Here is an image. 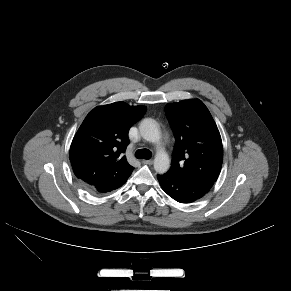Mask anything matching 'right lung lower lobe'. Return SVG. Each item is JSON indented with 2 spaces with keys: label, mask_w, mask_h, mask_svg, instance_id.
<instances>
[{
  "label": "right lung lower lobe",
  "mask_w": 291,
  "mask_h": 291,
  "mask_svg": "<svg viewBox=\"0 0 291 291\" xmlns=\"http://www.w3.org/2000/svg\"><path fill=\"white\" fill-rule=\"evenodd\" d=\"M127 179L128 178L117 179V177L105 176L95 181L92 185H83L91 193L102 194L117 189L118 187L122 186L127 181Z\"/></svg>",
  "instance_id": "right-lung-lower-lobe-1"
}]
</instances>
